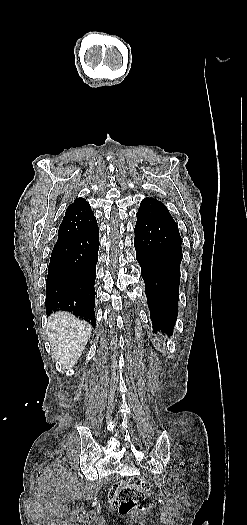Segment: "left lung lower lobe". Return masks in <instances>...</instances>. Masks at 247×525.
<instances>
[{
	"label": "left lung lower lobe",
	"mask_w": 247,
	"mask_h": 525,
	"mask_svg": "<svg viewBox=\"0 0 247 525\" xmlns=\"http://www.w3.org/2000/svg\"><path fill=\"white\" fill-rule=\"evenodd\" d=\"M134 232L136 259L146 286L153 329L171 335L178 314L182 260L178 227L157 218L137 215Z\"/></svg>",
	"instance_id": "1"
}]
</instances>
